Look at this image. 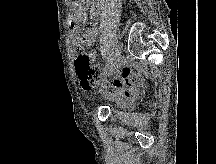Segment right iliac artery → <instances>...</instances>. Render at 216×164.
I'll use <instances>...</instances> for the list:
<instances>
[{
  "label": "right iliac artery",
  "instance_id": "1",
  "mask_svg": "<svg viewBox=\"0 0 216 164\" xmlns=\"http://www.w3.org/2000/svg\"><path fill=\"white\" fill-rule=\"evenodd\" d=\"M109 63V68L111 69L113 66H112V62H114V56H113V52H112V54H110V56H109V61H108Z\"/></svg>",
  "mask_w": 216,
  "mask_h": 164
}]
</instances>
